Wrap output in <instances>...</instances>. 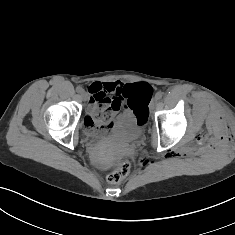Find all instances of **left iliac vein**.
Masks as SVG:
<instances>
[{
	"label": "left iliac vein",
	"mask_w": 235,
	"mask_h": 235,
	"mask_svg": "<svg viewBox=\"0 0 235 235\" xmlns=\"http://www.w3.org/2000/svg\"><path fill=\"white\" fill-rule=\"evenodd\" d=\"M156 103H157V99L154 97V98L151 100L150 104H149V108H150L151 110H154V109H155V106H156Z\"/></svg>",
	"instance_id": "1"
}]
</instances>
